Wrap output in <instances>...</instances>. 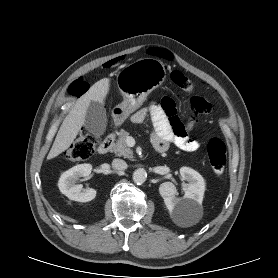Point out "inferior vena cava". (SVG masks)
Masks as SVG:
<instances>
[{
    "label": "inferior vena cava",
    "instance_id": "inferior-vena-cava-1",
    "mask_svg": "<svg viewBox=\"0 0 278 278\" xmlns=\"http://www.w3.org/2000/svg\"><path fill=\"white\" fill-rule=\"evenodd\" d=\"M112 167L116 170H125L127 168V163L122 159H114L112 161Z\"/></svg>",
    "mask_w": 278,
    "mask_h": 278
}]
</instances>
